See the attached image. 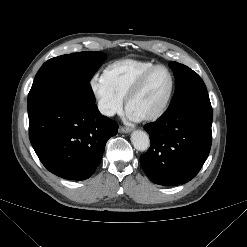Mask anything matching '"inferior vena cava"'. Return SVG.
I'll list each match as a JSON object with an SVG mask.
<instances>
[{
	"label": "inferior vena cava",
	"instance_id": "inferior-vena-cava-1",
	"mask_svg": "<svg viewBox=\"0 0 247 247\" xmlns=\"http://www.w3.org/2000/svg\"><path fill=\"white\" fill-rule=\"evenodd\" d=\"M98 108L101 114L105 116H113L115 114V110L106 103L99 102Z\"/></svg>",
	"mask_w": 247,
	"mask_h": 247
}]
</instances>
